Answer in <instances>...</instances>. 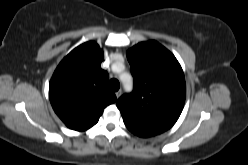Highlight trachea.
<instances>
[{"label":"trachea","instance_id":"obj_1","mask_svg":"<svg viewBox=\"0 0 248 165\" xmlns=\"http://www.w3.org/2000/svg\"><path fill=\"white\" fill-rule=\"evenodd\" d=\"M109 88H110V90H112V91H118L119 88H120V83H119V81L116 80V79H111V80L109 81Z\"/></svg>","mask_w":248,"mask_h":165}]
</instances>
